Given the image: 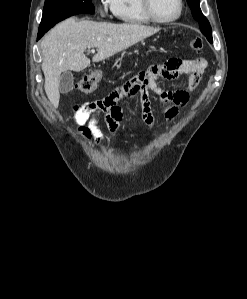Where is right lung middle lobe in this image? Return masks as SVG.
I'll return each instance as SVG.
<instances>
[{
    "label": "right lung middle lobe",
    "instance_id": "1",
    "mask_svg": "<svg viewBox=\"0 0 247 299\" xmlns=\"http://www.w3.org/2000/svg\"><path fill=\"white\" fill-rule=\"evenodd\" d=\"M94 10L92 0H45L38 37L63 19L80 13L93 14Z\"/></svg>",
    "mask_w": 247,
    "mask_h": 299
}]
</instances>
